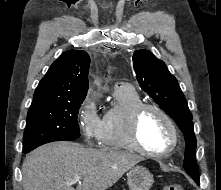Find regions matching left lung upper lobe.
I'll use <instances>...</instances> for the list:
<instances>
[{"instance_id": "5c2ea615", "label": "left lung upper lobe", "mask_w": 221, "mask_h": 190, "mask_svg": "<svg viewBox=\"0 0 221 190\" xmlns=\"http://www.w3.org/2000/svg\"><path fill=\"white\" fill-rule=\"evenodd\" d=\"M133 67L141 88L174 119L183 132L186 141L183 167L194 180L199 179L193 117L177 79L162 60L147 50L134 52Z\"/></svg>"}]
</instances>
